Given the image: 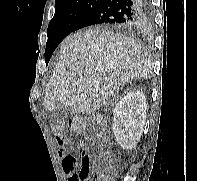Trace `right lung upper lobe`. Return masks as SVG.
Returning <instances> with one entry per match:
<instances>
[{"instance_id":"right-lung-upper-lobe-1","label":"right lung upper lobe","mask_w":197,"mask_h":181,"mask_svg":"<svg viewBox=\"0 0 197 181\" xmlns=\"http://www.w3.org/2000/svg\"><path fill=\"white\" fill-rule=\"evenodd\" d=\"M102 0H56L55 3V12L62 11V10H67L70 8L77 7L79 5L83 4H93L96 5ZM137 27L130 26L126 27L124 30H133L136 29Z\"/></svg>"}]
</instances>
